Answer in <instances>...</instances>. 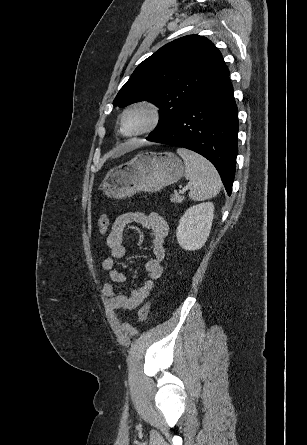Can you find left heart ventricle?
Masks as SVG:
<instances>
[{
    "instance_id": "b2bd125f",
    "label": "left heart ventricle",
    "mask_w": 307,
    "mask_h": 445,
    "mask_svg": "<svg viewBox=\"0 0 307 445\" xmlns=\"http://www.w3.org/2000/svg\"><path fill=\"white\" fill-rule=\"evenodd\" d=\"M152 122V113L146 107L130 109L124 119V131L133 134L147 128Z\"/></svg>"
}]
</instances>
